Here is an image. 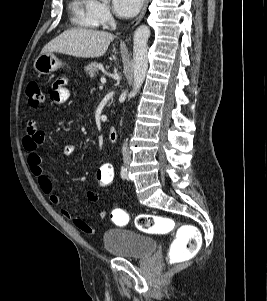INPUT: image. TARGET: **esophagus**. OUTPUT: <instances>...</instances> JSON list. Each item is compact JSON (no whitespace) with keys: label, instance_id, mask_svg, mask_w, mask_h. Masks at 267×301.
Segmentation results:
<instances>
[{"label":"esophagus","instance_id":"1","mask_svg":"<svg viewBox=\"0 0 267 301\" xmlns=\"http://www.w3.org/2000/svg\"><path fill=\"white\" fill-rule=\"evenodd\" d=\"M148 3H149V0H145V3H144V6L142 8L141 13L139 14V16L132 23L133 26L138 25L140 23V21L142 20V18L144 17Z\"/></svg>","mask_w":267,"mask_h":301}]
</instances>
